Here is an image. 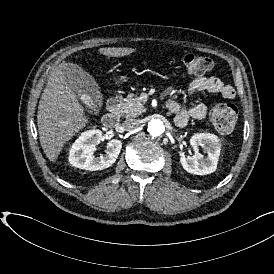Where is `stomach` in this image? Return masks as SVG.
I'll use <instances>...</instances> for the list:
<instances>
[{
    "instance_id": "obj_1",
    "label": "stomach",
    "mask_w": 274,
    "mask_h": 274,
    "mask_svg": "<svg viewBox=\"0 0 274 274\" xmlns=\"http://www.w3.org/2000/svg\"><path fill=\"white\" fill-rule=\"evenodd\" d=\"M122 81H123V79H122L121 77H116V78H115V84H116V85H121V84H122Z\"/></svg>"
}]
</instances>
